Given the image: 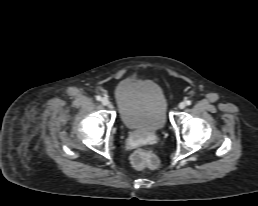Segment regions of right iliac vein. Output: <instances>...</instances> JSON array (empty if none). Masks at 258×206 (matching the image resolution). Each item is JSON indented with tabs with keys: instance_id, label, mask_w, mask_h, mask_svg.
I'll list each match as a JSON object with an SVG mask.
<instances>
[{
	"instance_id": "63e3f726",
	"label": "right iliac vein",
	"mask_w": 258,
	"mask_h": 206,
	"mask_svg": "<svg viewBox=\"0 0 258 206\" xmlns=\"http://www.w3.org/2000/svg\"><path fill=\"white\" fill-rule=\"evenodd\" d=\"M101 103H102L104 106H108V105L110 104V101H109L108 98L103 97V98L101 99Z\"/></svg>"
}]
</instances>
